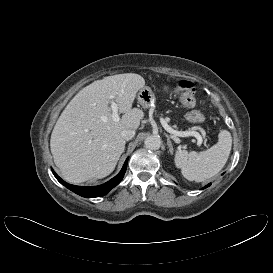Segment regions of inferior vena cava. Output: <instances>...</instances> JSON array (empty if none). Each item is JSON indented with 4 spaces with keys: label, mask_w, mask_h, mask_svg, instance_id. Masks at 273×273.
I'll use <instances>...</instances> for the list:
<instances>
[{
    "label": "inferior vena cava",
    "mask_w": 273,
    "mask_h": 273,
    "mask_svg": "<svg viewBox=\"0 0 273 273\" xmlns=\"http://www.w3.org/2000/svg\"><path fill=\"white\" fill-rule=\"evenodd\" d=\"M135 135V130L133 129H126V130H123L121 132V137L124 139V140H131Z\"/></svg>",
    "instance_id": "obj_1"
}]
</instances>
